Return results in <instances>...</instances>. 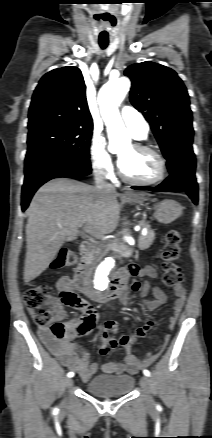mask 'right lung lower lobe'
<instances>
[{
	"mask_svg": "<svg viewBox=\"0 0 212 438\" xmlns=\"http://www.w3.org/2000/svg\"><path fill=\"white\" fill-rule=\"evenodd\" d=\"M89 160L34 156L25 159L22 187V211L28 207L36 190L45 182L59 177L78 178L91 173Z\"/></svg>",
	"mask_w": 212,
	"mask_h": 438,
	"instance_id": "1",
	"label": "right lung lower lobe"
}]
</instances>
